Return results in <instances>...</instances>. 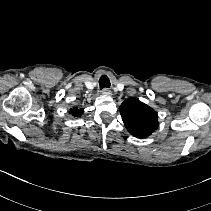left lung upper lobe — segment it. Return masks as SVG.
<instances>
[{
  "mask_svg": "<svg viewBox=\"0 0 211 211\" xmlns=\"http://www.w3.org/2000/svg\"><path fill=\"white\" fill-rule=\"evenodd\" d=\"M127 130L137 138L150 136L158 127L157 112L138 99L128 98L119 107Z\"/></svg>",
  "mask_w": 211,
  "mask_h": 211,
  "instance_id": "obj_1",
  "label": "left lung upper lobe"
}]
</instances>
